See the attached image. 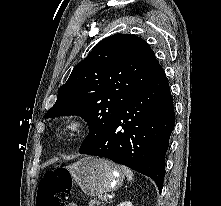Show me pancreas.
<instances>
[{
  "mask_svg": "<svg viewBox=\"0 0 221 206\" xmlns=\"http://www.w3.org/2000/svg\"><path fill=\"white\" fill-rule=\"evenodd\" d=\"M101 201H105L104 197L99 196L98 199H94L92 201L89 202V206H100L101 204H103V202Z\"/></svg>",
  "mask_w": 221,
  "mask_h": 206,
  "instance_id": "cf45deb5",
  "label": "pancreas"
}]
</instances>
